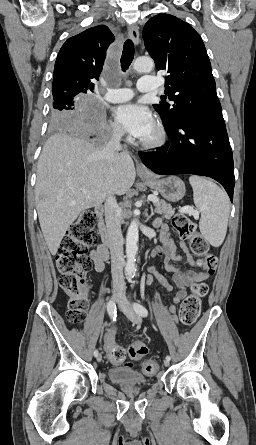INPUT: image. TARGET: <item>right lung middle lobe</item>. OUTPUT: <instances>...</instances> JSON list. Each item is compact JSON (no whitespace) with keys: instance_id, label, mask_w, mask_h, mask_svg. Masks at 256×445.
<instances>
[{"instance_id":"right-lung-middle-lobe-1","label":"right lung middle lobe","mask_w":256,"mask_h":445,"mask_svg":"<svg viewBox=\"0 0 256 445\" xmlns=\"http://www.w3.org/2000/svg\"><path fill=\"white\" fill-rule=\"evenodd\" d=\"M83 93L66 91L53 94V108L51 109V127H71L81 117L80 99Z\"/></svg>"}]
</instances>
